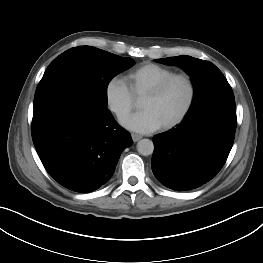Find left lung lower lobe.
<instances>
[{
    "label": "left lung lower lobe",
    "instance_id": "0a47b994",
    "mask_svg": "<svg viewBox=\"0 0 263 263\" xmlns=\"http://www.w3.org/2000/svg\"><path fill=\"white\" fill-rule=\"evenodd\" d=\"M237 125L235 100H218L186 115L176 128L153 137L155 177L175 191L200 187L225 164Z\"/></svg>",
    "mask_w": 263,
    "mask_h": 263
}]
</instances>
